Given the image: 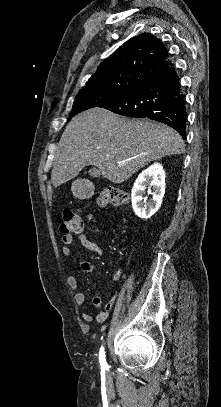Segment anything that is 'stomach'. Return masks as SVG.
<instances>
[{
    "label": "stomach",
    "mask_w": 221,
    "mask_h": 407,
    "mask_svg": "<svg viewBox=\"0 0 221 407\" xmlns=\"http://www.w3.org/2000/svg\"><path fill=\"white\" fill-rule=\"evenodd\" d=\"M72 191L77 197H82L84 195V190L79 181L73 183Z\"/></svg>",
    "instance_id": "stomach-1"
}]
</instances>
